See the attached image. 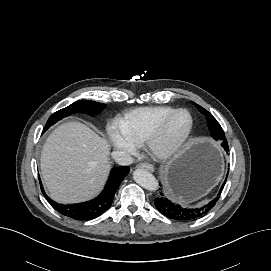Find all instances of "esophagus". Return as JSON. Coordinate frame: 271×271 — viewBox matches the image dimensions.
Listing matches in <instances>:
<instances>
[{
	"label": "esophagus",
	"instance_id": "obj_1",
	"mask_svg": "<svg viewBox=\"0 0 271 271\" xmlns=\"http://www.w3.org/2000/svg\"><path fill=\"white\" fill-rule=\"evenodd\" d=\"M137 168L139 169H145L149 172H153L154 171V167L153 165L149 164V163H140L137 165Z\"/></svg>",
	"mask_w": 271,
	"mask_h": 271
}]
</instances>
